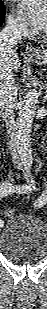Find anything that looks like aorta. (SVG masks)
Instances as JSON below:
<instances>
[{
	"mask_svg": "<svg viewBox=\"0 0 47 309\" xmlns=\"http://www.w3.org/2000/svg\"><path fill=\"white\" fill-rule=\"evenodd\" d=\"M38 95L35 89H29L22 99L19 109L15 141L19 155L23 158H31V128L37 112Z\"/></svg>",
	"mask_w": 47,
	"mask_h": 309,
	"instance_id": "aorta-1",
	"label": "aorta"
}]
</instances>
